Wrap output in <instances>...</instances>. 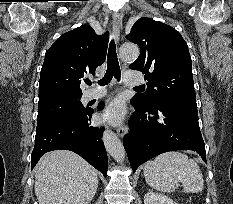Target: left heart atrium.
<instances>
[{
  "label": "left heart atrium",
  "instance_id": "left-heart-atrium-1",
  "mask_svg": "<svg viewBox=\"0 0 233 204\" xmlns=\"http://www.w3.org/2000/svg\"><path fill=\"white\" fill-rule=\"evenodd\" d=\"M124 117V107L121 102H112L104 111L103 119L112 123H119Z\"/></svg>",
  "mask_w": 233,
  "mask_h": 204
}]
</instances>
